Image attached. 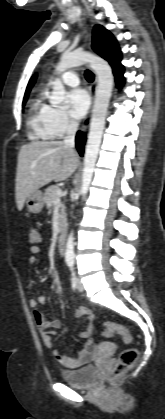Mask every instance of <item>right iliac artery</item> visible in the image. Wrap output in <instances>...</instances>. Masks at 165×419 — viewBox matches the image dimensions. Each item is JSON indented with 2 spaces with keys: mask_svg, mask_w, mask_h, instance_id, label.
Returning <instances> with one entry per match:
<instances>
[{
  "mask_svg": "<svg viewBox=\"0 0 165 419\" xmlns=\"http://www.w3.org/2000/svg\"><path fill=\"white\" fill-rule=\"evenodd\" d=\"M76 284H77V279H76L75 273L72 272V288H73V290L76 289Z\"/></svg>",
  "mask_w": 165,
  "mask_h": 419,
  "instance_id": "82829eb1",
  "label": "right iliac artery"
}]
</instances>
